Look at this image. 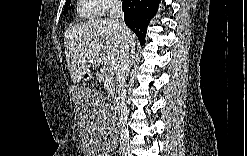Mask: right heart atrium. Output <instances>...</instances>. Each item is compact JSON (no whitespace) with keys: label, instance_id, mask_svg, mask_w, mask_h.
<instances>
[{"label":"right heart atrium","instance_id":"1","mask_svg":"<svg viewBox=\"0 0 247 156\" xmlns=\"http://www.w3.org/2000/svg\"><path fill=\"white\" fill-rule=\"evenodd\" d=\"M96 6L98 7V14L102 15L113 9L118 5V1L115 0H96L94 1Z\"/></svg>","mask_w":247,"mask_h":156}]
</instances>
